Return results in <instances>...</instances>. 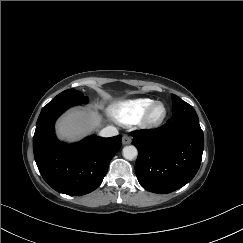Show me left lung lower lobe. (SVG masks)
Wrapping results in <instances>:
<instances>
[{"instance_id":"left-lung-lower-lobe-1","label":"left lung lower lobe","mask_w":243,"mask_h":243,"mask_svg":"<svg viewBox=\"0 0 243 243\" xmlns=\"http://www.w3.org/2000/svg\"><path fill=\"white\" fill-rule=\"evenodd\" d=\"M132 136L138 149L136 176L146 190L170 193L197 173L204 148L198 118L176 116L162 127L133 131Z\"/></svg>"}]
</instances>
